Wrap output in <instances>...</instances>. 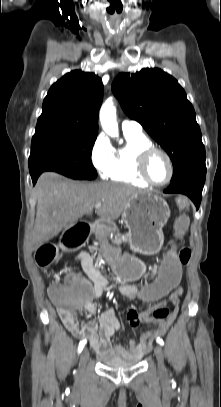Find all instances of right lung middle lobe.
I'll return each mask as SVG.
<instances>
[{"mask_svg":"<svg viewBox=\"0 0 221 407\" xmlns=\"http://www.w3.org/2000/svg\"><path fill=\"white\" fill-rule=\"evenodd\" d=\"M95 140L96 136L63 130L35 132L28 161L30 174L56 171L73 179H95L91 161Z\"/></svg>","mask_w":221,"mask_h":407,"instance_id":"right-lung-middle-lobe-1","label":"right lung middle lobe"}]
</instances>
